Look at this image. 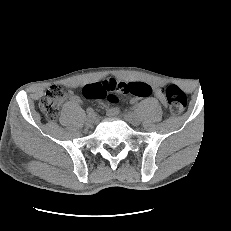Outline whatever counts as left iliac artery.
Segmentation results:
<instances>
[{"mask_svg":"<svg viewBox=\"0 0 231 231\" xmlns=\"http://www.w3.org/2000/svg\"><path fill=\"white\" fill-rule=\"evenodd\" d=\"M132 112L133 113H138L139 112V107L138 106H133L132 107Z\"/></svg>","mask_w":231,"mask_h":231,"instance_id":"44dca946","label":"left iliac artery"}]
</instances>
